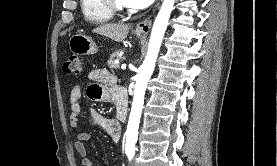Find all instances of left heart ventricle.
Returning <instances> with one entry per match:
<instances>
[{
    "label": "left heart ventricle",
    "instance_id": "obj_1",
    "mask_svg": "<svg viewBox=\"0 0 277 166\" xmlns=\"http://www.w3.org/2000/svg\"><path fill=\"white\" fill-rule=\"evenodd\" d=\"M121 3H123V0H119ZM124 4V3H123Z\"/></svg>",
    "mask_w": 277,
    "mask_h": 166
}]
</instances>
